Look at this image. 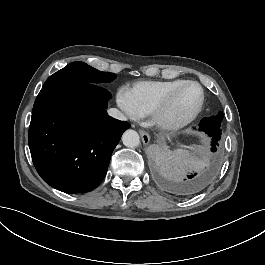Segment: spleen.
Wrapping results in <instances>:
<instances>
[{
    "instance_id": "obj_1",
    "label": "spleen",
    "mask_w": 265,
    "mask_h": 265,
    "mask_svg": "<svg viewBox=\"0 0 265 265\" xmlns=\"http://www.w3.org/2000/svg\"><path fill=\"white\" fill-rule=\"evenodd\" d=\"M175 152V154H177V155H184L185 157H190V153H189V151H187V150H183V149H177V150H175L174 151Z\"/></svg>"
}]
</instances>
